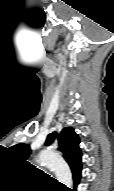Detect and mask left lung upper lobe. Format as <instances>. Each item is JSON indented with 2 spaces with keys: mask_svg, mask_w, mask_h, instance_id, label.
Wrapping results in <instances>:
<instances>
[{
  "mask_svg": "<svg viewBox=\"0 0 114 191\" xmlns=\"http://www.w3.org/2000/svg\"><path fill=\"white\" fill-rule=\"evenodd\" d=\"M57 137V133L53 132L48 135L45 145H50L53 143L54 139ZM80 139L74 130L70 127L64 128L60 135L58 136L59 150L63 153L64 158L73 169L79 164H81V150L79 148ZM11 152L25 161L29 157L31 152L30 146L28 144H16L10 147Z\"/></svg>",
  "mask_w": 114,
  "mask_h": 191,
  "instance_id": "obj_1",
  "label": "left lung upper lobe"
}]
</instances>
